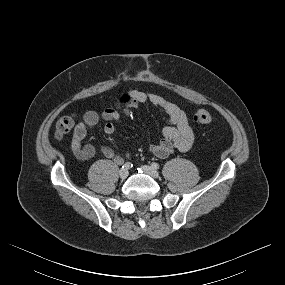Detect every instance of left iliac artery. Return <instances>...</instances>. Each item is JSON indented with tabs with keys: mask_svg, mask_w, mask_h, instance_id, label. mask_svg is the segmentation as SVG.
Masks as SVG:
<instances>
[{
	"mask_svg": "<svg viewBox=\"0 0 285 285\" xmlns=\"http://www.w3.org/2000/svg\"><path fill=\"white\" fill-rule=\"evenodd\" d=\"M151 165H152V167H153L154 169H159V164H158V163L153 162Z\"/></svg>",
	"mask_w": 285,
	"mask_h": 285,
	"instance_id": "left-iliac-artery-1",
	"label": "left iliac artery"
}]
</instances>
